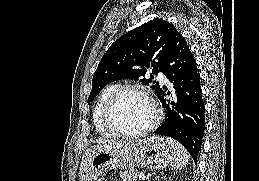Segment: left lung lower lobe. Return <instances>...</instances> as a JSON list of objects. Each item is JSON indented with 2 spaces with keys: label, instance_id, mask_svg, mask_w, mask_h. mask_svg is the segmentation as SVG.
I'll return each instance as SVG.
<instances>
[{
  "label": "left lung lower lobe",
  "instance_id": "obj_1",
  "mask_svg": "<svg viewBox=\"0 0 259 181\" xmlns=\"http://www.w3.org/2000/svg\"><path fill=\"white\" fill-rule=\"evenodd\" d=\"M173 84L175 100L166 101L170 94L163 86L158 98L165 108V120L154 132L179 141L197 161L205 130V107L196 61L182 36L176 37L164 74Z\"/></svg>",
  "mask_w": 259,
  "mask_h": 181
}]
</instances>
